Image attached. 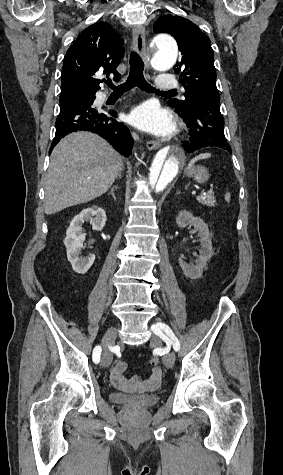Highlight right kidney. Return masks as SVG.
<instances>
[{
  "label": "right kidney",
  "mask_w": 283,
  "mask_h": 475,
  "mask_svg": "<svg viewBox=\"0 0 283 475\" xmlns=\"http://www.w3.org/2000/svg\"><path fill=\"white\" fill-rule=\"evenodd\" d=\"M106 212L102 208H86L78 216H74L66 232L64 243L67 247V257L74 271L86 273L94 263L95 253H89L86 257H80V249L85 247L83 241L86 234H82V224L90 222L93 230H103L106 224Z\"/></svg>",
  "instance_id": "ca27d5eb"
}]
</instances>
